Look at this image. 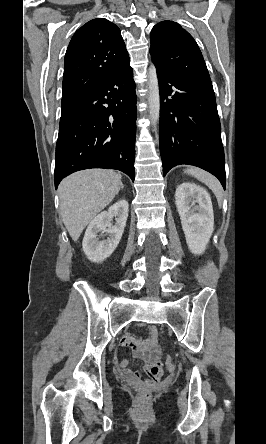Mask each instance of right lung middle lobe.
Masks as SVG:
<instances>
[{
	"instance_id": "dd1d6c3e",
	"label": "right lung middle lobe",
	"mask_w": 266,
	"mask_h": 444,
	"mask_svg": "<svg viewBox=\"0 0 266 444\" xmlns=\"http://www.w3.org/2000/svg\"><path fill=\"white\" fill-rule=\"evenodd\" d=\"M71 103H67V102H62V109L66 108L67 106H69Z\"/></svg>"
}]
</instances>
